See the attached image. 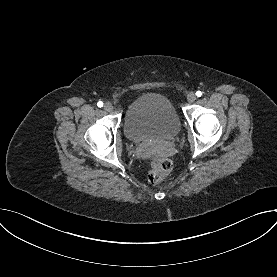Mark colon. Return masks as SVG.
Segmentation results:
<instances>
[{"instance_id": "1", "label": "colon", "mask_w": 277, "mask_h": 277, "mask_svg": "<svg viewBox=\"0 0 277 277\" xmlns=\"http://www.w3.org/2000/svg\"><path fill=\"white\" fill-rule=\"evenodd\" d=\"M173 164L165 157H155L151 160V170L148 173V181L151 184L160 183L172 170Z\"/></svg>"}]
</instances>
